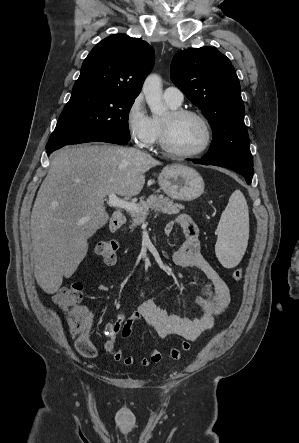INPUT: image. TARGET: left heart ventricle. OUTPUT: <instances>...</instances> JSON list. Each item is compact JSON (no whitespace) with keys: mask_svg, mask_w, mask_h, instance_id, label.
I'll return each mask as SVG.
<instances>
[{"mask_svg":"<svg viewBox=\"0 0 299 443\" xmlns=\"http://www.w3.org/2000/svg\"><path fill=\"white\" fill-rule=\"evenodd\" d=\"M169 124L168 144L179 152H192L201 147L205 140V128L194 116L171 120L169 113L162 119Z\"/></svg>","mask_w":299,"mask_h":443,"instance_id":"1","label":"left heart ventricle"}]
</instances>
